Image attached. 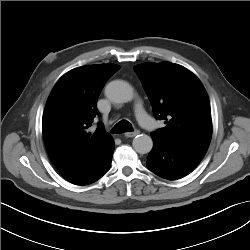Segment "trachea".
<instances>
[{
	"mask_svg": "<svg viewBox=\"0 0 250 250\" xmlns=\"http://www.w3.org/2000/svg\"><path fill=\"white\" fill-rule=\"evenodd\" d=\"M133 127L130 122L126 120L119 121L111 130V133L113 134H121L125 132H132Z\"/></svg>",
	"mask_w": 250,
	"mask_h": 250,
	"instance_id": "1",
	"label": "trachea"
}]
</instances>
